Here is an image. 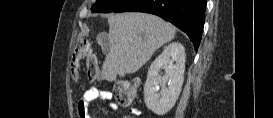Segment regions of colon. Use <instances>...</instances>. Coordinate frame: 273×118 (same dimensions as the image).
Wrapping results in <instances>:
<instances>
[{"mask_svg": "<svg viewBox=\"0 0 273 118\" xmlns=\"http://www.w3.org/2000/svg\"><path fill=\"white\" fill-rule=\"evenodd\" d=\"M86 60V74L90 81H101L102 75L98 66L97 59L92 53L91 44L88 40H80L73 51L70 62V73L74 80L78 79L79 61ZM113 90L117 102L122 106L132 104L137 95L134 84L128 80H118L113 84Z\"/></svg>", "mask_w": 273, "mask_h": 118, "instance_id": "colon-1", "label": "colon"}]
</instances>
